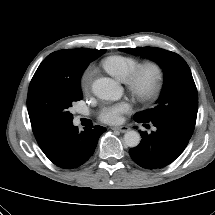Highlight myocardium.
<instances>
[{
  "instance_id": "obj_1",
  "label": "myocardium",
  "mask_w": 215,
  "mask_h": 215,
  "mask_svg": "<svg viewBox=\"0 0 215 215\" xmlns=\"http://www.w3.org/2000/svg\"><path fill=\"white\" fill-rule=\"evenodd\" d=\"M163 67L154 60L138 64L126 78L128 91L139 101L148 102L160 91L163 80Z\"/></svg>"
}]
</instances>
